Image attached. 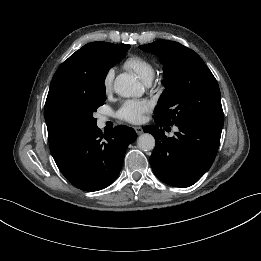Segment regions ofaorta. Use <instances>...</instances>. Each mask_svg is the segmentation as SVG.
I'll return each mask as SVG.
<instances>
[{
	"mask_svg": "<svg viewBox=\"0 0 261 261\" xmlns=\"http://www.w3.org/2000/svg\"><path fill=\"white\" fill-rule=\"evenodd\" d=\"M115 92L122 97H139L144 93V87L137 77L130 73L118 75L114 81ZM137 146L142 151H150L155 147V139L149 133L141 134L137 139Z\"/></svg>",
	"mask_w": 261,
	"mask_h": 261,
	"instance_id": "obj_1",
	"label": "aorta"
}]
</instances>
